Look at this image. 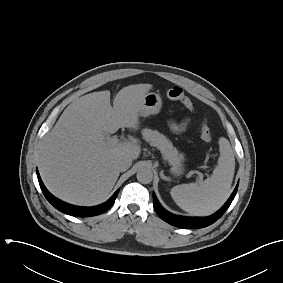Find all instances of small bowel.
<instances>
[{"label":"small bowel","mask_w":283,"mask_h":283,"mask_svg":"<svg viewBox=\"0 0 283 283\" xmlns=\"http://www.w3.org/2000/svg\"><path fill=\"white\" fill-rule=\"evenodd\" d=\"M187 124L188 121H183L181 123L170 122V127L176 132H181L186 128Z\"/></svg>","instance_id":"obj_1"}]
</instances>
